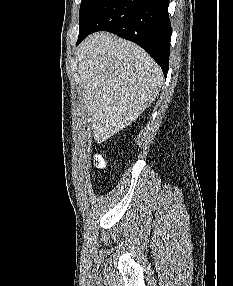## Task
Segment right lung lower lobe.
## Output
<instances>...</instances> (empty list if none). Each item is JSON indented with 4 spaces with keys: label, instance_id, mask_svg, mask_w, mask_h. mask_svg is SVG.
Wrapping results in <instances>:
<instances>
[{
    "label": "right lung lower lobe",
    "instance_id": "98d812e1",
    "mask_svg": "<svg viewBox=\"0 0 233 286\" xmlns=\"http://www.w3.org/2000/svg\"><path fill=\"white\" fill-rule=\"evenodd\" d=\"M169 0H98L80 23L77 45L96 31L112 32L147 51L166 77L171 23Z\"/></svg>",
    "mask_w": 233,
    "mask_h": 286
}]
</instances>
